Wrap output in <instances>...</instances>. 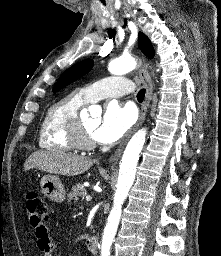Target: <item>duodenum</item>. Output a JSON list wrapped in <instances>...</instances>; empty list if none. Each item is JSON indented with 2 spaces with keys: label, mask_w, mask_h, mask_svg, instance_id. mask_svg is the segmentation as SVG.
<instances>
[{
  "label": "duodenum",
  "mask_w": 221,
  "mask_h": 256,
  "mask_svg": "<svg viewBox=\"0 0 221 256\" xmlns=\"http://www.w3.org/2000/svg\"><path fill=\"white\" fill-rule=\"evenodd\" d=\"M86 245L88 250L92 254H97L98 252V238L96 236H91L87 239Z\"/></svg>",
  "instance_id": "obj_1"
}]
</instances>
